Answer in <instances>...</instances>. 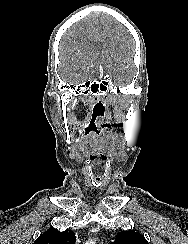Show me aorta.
Instances as JSON below:
<instances>
[{
  "label": "aorta",
  "mask_w": 188,
  "mask_h": 244,
  "mask_svg": "<svg viewBox=\"0 0 188 244\" xmlns=\"http://www.w3.org/2000/svg\"><path fill=\"white\" fill-rule=\"evenodd\" d=\"M85 244H94L92 240L85 242Z\"/></svg>",
  "instance_id": "obj_1"
}]
</instances>
